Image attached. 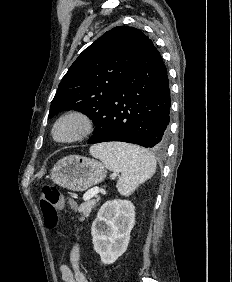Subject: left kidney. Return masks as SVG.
<instances>
[{
  "instance_id": "5707ae66",
  "label": "left kidney",
  "mask_w": 232,
  "mask_h": 282,
  "mask_svg": "<svg viewBox=\"0 0 232 282\" xmlns=\"http://www.w3.org/2000/svg\"><path fill=\"white\" fill-rule=\"evenodd\" d=\"M135 224V207L127 200L104 203L92 224L94 250L104 264L114 263L127 249Z\"/></svg>"
}]
</instances>
